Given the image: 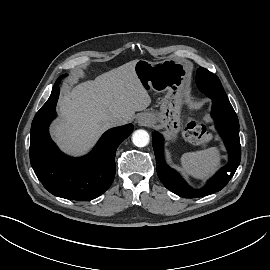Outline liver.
<instances>
[{
    "label": "liver",
    "mask_w": 270,
    "mask_h": 270,
    "mask_svg": "<svg viewBox=\"0 0 270 270\" xmlns=\"http://www.w3.org/2000/svg\"><path fill=\"white\" fill-rule=\"evenodd\" d=\"M130 61L67 91L59 100L62 121L53 124L55 140L68 153L88 150L110 125V118L121 116L127 122L136 111L145 110L151 98L136 76Z\"/></svg>",
    "instance_id": "liver-1"
}]
</instances>
